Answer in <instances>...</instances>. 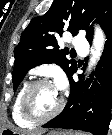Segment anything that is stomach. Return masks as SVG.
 Here are the masks:
<instances>
[{
  "label": "stomach",
  "mask_w": 112,
  "mask_h": 135,
  "mask_svg": "<svg viewBox=\"0 0 112 135\" xmlns=\"http://www.w3.org/2000/svg\"><path fill=\"white\" fill-rule=\"evenodd\" d=\"M13 134H17L16 131L10 129V128H5L4 130L0 131V135H13ZM47 135H73L70 132H50Z\"/></svg>",
  "instance_id": "stomach-1"
}]
</instances>
